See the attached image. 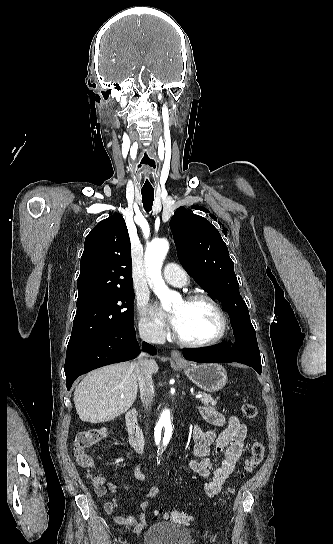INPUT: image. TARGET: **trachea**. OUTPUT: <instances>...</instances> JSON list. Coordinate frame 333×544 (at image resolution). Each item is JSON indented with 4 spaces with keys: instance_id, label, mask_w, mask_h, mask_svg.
<instances>
[{
    "instance_id": "3493384b",
    "label": "trachea",
    "mask_w": 333,
    "mask_h": 544,
    "mask_svg": "<svg viewBox=\"0 0 333 544\" xmlns=\"http://www.w3.org/2000/svg\"><path fill=\"white\" fill-rule=\"evenodd\" d=\"M141 194L145 211H151L154 200V190H141Z\"/></svg>"
}]
</instances>
